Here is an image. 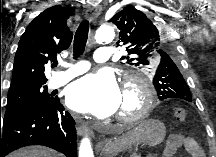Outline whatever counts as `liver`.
<instances>
[{
	"label": "liver",
	"mask_w": 216,
	"mask_h": 157,
	"mask_svg": "<svg viewBox=\"0 0 216 157\" xmlns=\"http://www.w3.org/2000/svg\"><path fill=\"white\" fill-rule=\"evenodd\" d=\"M9 157H61V154L47 147L29 146L9 154Z\"/></svg>",
	"instance_id": "6515ba94"
}]
</instances>
